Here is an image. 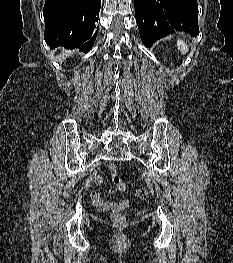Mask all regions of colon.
<instances>
[{"mask_svg":"<svg viewBox=\"0 0 233 263\" xmlns=\"http://www.w3.org/2000/svg\"><path fill=\"white\" fill-rule=\"evenodd\" d=\"M110 170L113 173V182L119 191H123L125 189V183L120 179V177L116 174L117 166L111 165ZM135 196L139 199H146L148 197V191L145 188H140L135 191ZM111 220L116 226H123L126 222V218L122 213L115 212L111 215Z\"/></svg>","mask_w":233,"mask_h":263,"instance_id":"colon-1","label":"colon"}]
</instances>
